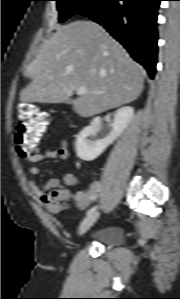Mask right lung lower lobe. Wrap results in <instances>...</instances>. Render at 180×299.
<instances>
[{
	"label": "right lung lower lobe",
	"instance_id": "right-lung-lower-lobe-1",
	"mask_svg": "<svg viewBox=\"0 0 180 299\" xmlns=\"http://www.w3.org/2000/svg\"><path fill=\"white\" fill-rule=\"evenodd\" d=\"M160 1L104 0L82 15L104 26L153 79L157 63L156 25Z\"/></svg>",
	"mask_w": 180,
	"mask_h": 299
}]
</instances>
